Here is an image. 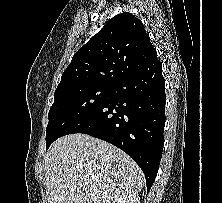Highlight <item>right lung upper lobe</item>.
<instances>
[{
  "label": "right lung upper lobe",
  "instance_id": "obj_1",
  "mask_svg": "<svg viewBox=\"0 0 222 203\" xmlns=\"http://www.w3.org/2000/svg\"><path fill=\"white\" fill-rule=\"evenodd\" d=\"M155 59L157 52L142 22L131 13L118 14L75 53L56 91L83 85L112 87Z\"/></svg>",
  "mask_w": 222,
  "mask_h": 203
}]
</instances>
